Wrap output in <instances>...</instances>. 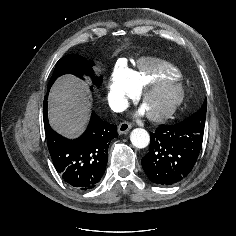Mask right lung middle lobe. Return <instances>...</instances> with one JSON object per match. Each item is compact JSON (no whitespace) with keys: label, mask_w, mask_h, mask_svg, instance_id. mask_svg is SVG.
I'll return each instance as SVG.
<instances>
[{"label":"right lung middle lobe","mask_w":236,"mask_h":236,"mask_svg":"<svg viewBox=\"0 0 236 236\" xmlns=\"http://www.w3.org/2000/svg\"><path fill=\"white\" fill-rule=\"evenodd\" d=\"M91 61H87L86 58L76 55V54H68L62 57L55 66L53 75L48 83V92L54 81L61 75L64 74H73L79 78L83 79V76H90L92 78L94 85H100L102 82V78H94L93 71L91 68ZM47 99V96L45 97Z\"/></svg>","instance_id":"dd1d6c3e"}]
</instances>
